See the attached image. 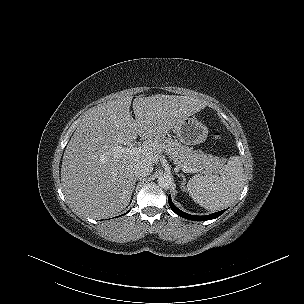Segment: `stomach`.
<instances>
[{
    "label": "stomach",
    "instance_id": "1",
    "mask_svg": "<svg viewBox=\"0 0 304 304\" xmlns=\"http://www.w3.org/2000/svg\"><path fill=\"white\" fill-rule=\"evenodd\" d=\"M173 132L177 139L186 145L200 144L206 140L208 135L207 127L196 118H185L178 123Z\"/></svg>",
    "mask_w": 304,
    "mask_h": 304
}]
</instances>
